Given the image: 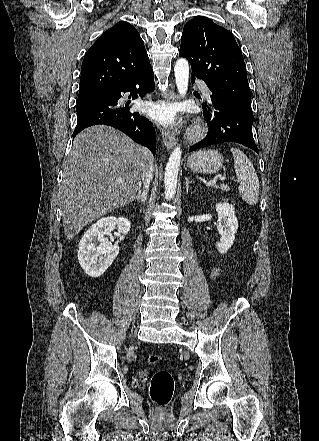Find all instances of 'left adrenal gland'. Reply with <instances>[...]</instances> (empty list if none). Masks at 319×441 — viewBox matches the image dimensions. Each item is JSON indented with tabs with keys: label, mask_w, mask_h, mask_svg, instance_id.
<instances>
[{
	"label": "left adrenal gland",
	"mask_w": 319,
	"mask_h": 441,
	"mask_svg": "<svg viewBox=\"0 0 319 441\" xmlns=\"http://www.w3.org/2000/svg\"><path fill=\"white\" fill-rule=\"evenodd\" d=\"M186 180V194L189 192V184L194 183V181H189L187 177H185Z\"/></svg>",
	"instance_id": "1"
}]
</instances>
